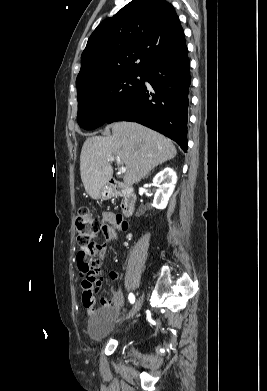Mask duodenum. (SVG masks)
Returning <instances> with one entry per match:
<instances>
[{
  "label": "duodenum",
  "instance_id": "1",
  "mask_svg": "<svg viewBox=\"0 0 267 391\" xmlns=\"http://www.w3.org/2000/svg\"><path fill=\"white\" fill-rule=\"evenodd\" d=\"M109 190L112 195L120 196L122 198L121 210L125 217L133 215L136 208L137 197L133 189L115 178L109 179Z\"/></svg>",
  "mask_w": 267,
  "mask_h": 391
}]
</instances>
